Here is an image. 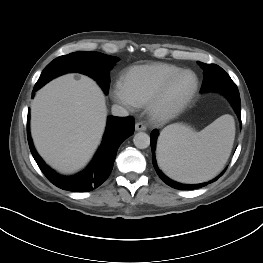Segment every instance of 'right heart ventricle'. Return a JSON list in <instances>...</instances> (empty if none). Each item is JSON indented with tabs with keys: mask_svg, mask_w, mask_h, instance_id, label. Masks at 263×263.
Masks as SVG:
<instances>
[{
	"mask_svg": "<svg viewBox=\"0 0 263 263\" xmlns=\"http://www.w3.org/2000/svg\"><path fill=\"white\" fill-rule=\"evenodd\" d=\"M180 70V67L168 63L138 65L126 71L123 84L133 103L143 106L169 76Z\"/></svg>",
	"mask_w": 263,
	"mask_h": 263,
	"instance_id": "obj_1",
	"label": "right heart ventricle"
}]
</instances>
